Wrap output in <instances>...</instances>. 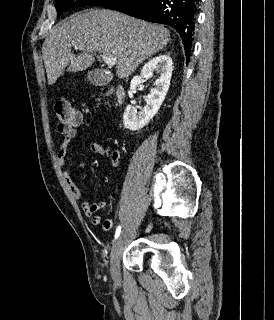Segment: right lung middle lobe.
Here are the masks:
<instances>
[{
  "label": "right lung middle lobe",
  "instance_id": "dd1d6c3e",
  "mask_svg": "<svg viewBox=\"0 0 274 320\" xmlns=\"http://www.w3.org/2000/svg\"><path fill=\"white\" fill-rule=\"evenodd\" d=\"M111 0H55L58 17L68 8L79 6H103Z\"/></svg>",
  "mask_w": 274,
  "mask_h": 320
}]
</instances>
